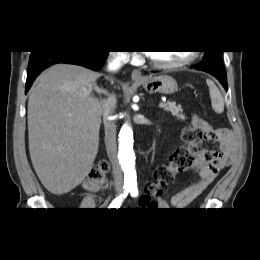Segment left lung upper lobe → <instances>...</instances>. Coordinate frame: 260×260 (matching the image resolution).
Segmentation results:
<instances>
[{"label":"left lung upper lobe","instance_id":"left-lung-upper-lobe-1","mask_svg":"<svg viewBox=\"0 0 260 260\" xmlns=\"http://www.w3.org/2000/svg\"><path fill=\"white\" fill-rule=\"evenodd\" d=\"M209 58L221 59L220 51H205V57H204L203 60H206V59H209Z\"/></svg>","mask_w":260,"mask_h":260}]
</instances>
